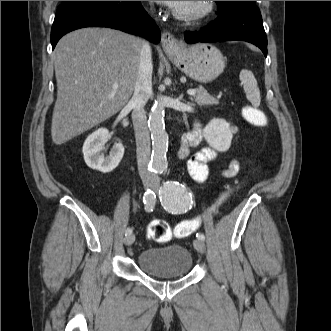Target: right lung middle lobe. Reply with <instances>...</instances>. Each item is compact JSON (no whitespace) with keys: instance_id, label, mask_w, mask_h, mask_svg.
Returning <instances> with one entry per match:
<instances>
[{"instance_id":"obj_1","label":"right lung middle lobe","mask_w":331,"mask_h":331,"mask_svg":"<svg viewBox=\"0 0 331 331\" xmlns=\"http://www.w3.org/2000/svg\"><path fill=\"white\" fill-rule=\"evenodd\" d=\"M72 2H75V1H62V4H67V3H72Z\"/></svg>"}]
</instances>
